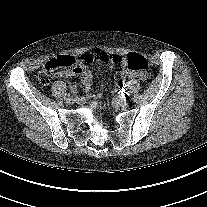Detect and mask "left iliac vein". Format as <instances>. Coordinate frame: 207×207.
Returning <instances> with one entry per match:
<instances>
[{"label":"left iliac vein","mask_w":207,"mask_h":207,"mask_svg":"<svg viewBox=\"0 0 207 207\" xmlns=\"http://www.w3.org/2000/svg\"><path fill=\"white\" fill-rule=\"evenodd\" d=\"M112 103L114 105L126 106L130 103V100L125 99L124 97H116V98H113Z\"/></svg>","instance_id":"1"}]
</instances>
